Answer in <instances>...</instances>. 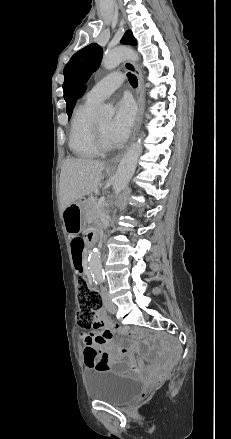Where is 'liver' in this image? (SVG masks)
<instances>
[{"mask_svg": "<svg viewBox=\"0 0 231 439\" xmlns=\"http://www.w3.org/2000/svg\"><path fill=\"white\" fill-rule=\"evenodd\" d=\"M105 163L86 158H67L60 174V202L64 210L100 185Z\"/></svg>", "mask_w": 231, "mask_h": 439, "instance_id": "6515ba94", "label": "liver"}]
</instances>
